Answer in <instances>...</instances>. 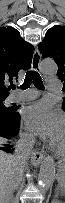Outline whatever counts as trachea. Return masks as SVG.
<instances>
[{"mask_svg": "<svg viewBox=\"0 0 65 203\" xmlns=\"http://www.w3.org/2000/svg\"><path fill=\"white\" fill-rule=\"evenodd\" d=\"M34 83L35 87L38 89H44L43 81L41 76L35 71H29L26 74L23 84L20 86L21 89H27L30 85ZM15 88V86H14Z\"/></svg>", "mask_w": 65, "mask_h": 203, "instance_id": "trachea-1", "label": "trachea"}]
</instances>
